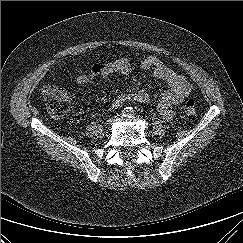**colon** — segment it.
<instances>
[{"instance_id": "obj_1", "label": "colon", "mask_w": 243, "mask_h": 243, "mask_svg": "<svg viewBox=\"0 0 243 243\" xmlns=\"http://www.w3.org/2000/svg\"><path fill=\"white\" fill-rule=\"evenodd\" d=\"M41 92L47 110L52 117L61 118L69 111L71 104L70 97L64 89L52 84H46L42 87ZM196 108V101L193 98L186 100L184 112L187 115H194Z\"/></svg>"}]
</instances>
